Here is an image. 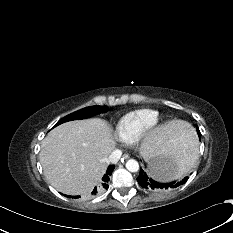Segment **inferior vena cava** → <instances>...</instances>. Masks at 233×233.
I'll list each match as a JSON object with an SVG mask.
<instances>
[{
	"label": "inferior vena cava",
	"mask_w": 233,
	"mask_h": 233,
	"mask_svg": "<svg viewBox=\"0 0 233 233\" xmlns=\"http://www.w3.org/2000/svg\"><path fill=\"white\" fill-rule=\"evenodd\" d=\"M121 155H122L121 150L116 149L110 153V155L107 158V162L112 163V164H116L119 161Z\"/></svg>",
	"instance_id": "1"
}]
</instances>
